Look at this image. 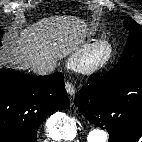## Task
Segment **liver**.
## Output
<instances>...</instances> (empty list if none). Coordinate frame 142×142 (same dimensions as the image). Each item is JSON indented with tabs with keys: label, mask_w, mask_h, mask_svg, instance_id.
I'll list each match as a JSON object with an SVG mask.
<instances>
[{
	"label": "liver",
	"mask_w": 142,
	"mask_h": 142,
	"mask_svg": "<svg viewBox=\"0 0 142 142\" xmlns=\"http://www.w3.org/2000/svg\"><path fill=\"white\" fill-rule=\"evenodd\" d=\"M87 25L75 16L39 20L14 34L0 59L19 69H33L41 62L62 59L86 37Z\"/></svg>",
	"instance_id": "liver-1"
}]
</instances>
